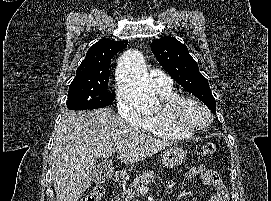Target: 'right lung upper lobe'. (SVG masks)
I'll use <instances>...</instances> for the list:
<instances>
[{"instance_id": "1", "label": "right lung upper lobe", "mask_w": 271, "mask_h": 201, "mask_svg": "<svg viewBox=\"0 0 271 201\" xmlns=\"http://www.w3.org/2000/svg\"><path fill=\"white\" fill-rule=\"evenodd\" d=\"M127 44V40L114 41L105 38L99 40L89 48L85 59L77 68L76 76L109 74L111 59L117 52L124 49Z\"/></svg>"}]
</instances>
